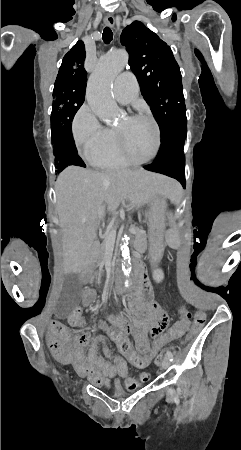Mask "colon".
<instances>
[{
    "label": "colon",
    "instance_id": "5ec220e1",
    "mask_svg": "<svg viewBox=\"0 0 241 450\" xmlns=\"http://www.w3.org/2000/svg\"><path fill=\"white\" fill-rule=\"evenodd\" d=\"M177 312L181 314L180 321H173L172 324H168L167 329L165 331H161L159 333V337L153 342L151 348L155 351L158 346L166 340L168 337H172L174 333H177L178 330H184L185 326L189 324V320L191 319V314L187 311V307L185 305H179L177 307ZM81 311L78 308L73 309L69 318V326L75 327L77 323L81 322ZM205 324V316L202 313H198L194 316L193 324L190 330L189 338H192L195 334L199 332L202 326ZM108 338L110 340H114L116 346L118 348H123V352L126 354L128 358L129 366H138L140 371H147L149 369V365L151 364V359L149 357H135V352L132 350L130 345H125V340L121 335H117L115 331H110L108 333ZM168 350L171 348L169 345L166 347ZM179 347L173 348L174 351H177ZM151 355V354H150ZM164 355L163 351H160L158 355L155 356V362H161V357Z\"/></svg>",
    "mask_w": 241,
    "mask_h": 450
}]
</instances>
